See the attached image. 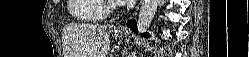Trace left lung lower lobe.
Returning <instances> with one entry per match:
<instances>
[{
  "instance_id": "obj_1",
  "label": "left lung lower lobe",
  "mask_w": 249,
  "mask_h": 57,
  "mask_svg": "<svg viewBox=\"0 0 249 57\" xmlns=\"http://www.w3.org/2000/svg\"><path fill=\"white\" fill-rule=\"evenodd\" d=\"M127 26L130 27L131 29H133L134 31L137 32V26H136V22L133 20H130L128 23H127ZM142 36L148 38L149 35L147 33H144L142 34Z\"/></svg>"
}]
</instances>
